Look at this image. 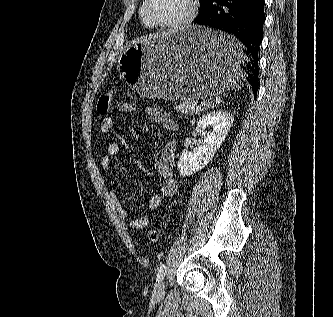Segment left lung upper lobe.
<instances>
[{
	"instance_id": "obj_1",
	"label": "left lung upper lobe",
	"mask_w": 333,
	"mask_h": 317,
	"mask_svg": "<svg viewBox=\"0 0 333 317\" xmlns=\"http://www.w3.org/2000/svg\"><path fill=\"white\" fill-rule=\"evenodd\" d=\"M199 2H200V13H201L208 6L210 0H199Z\"/></svg>"
}]
</instances>
